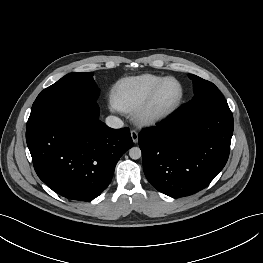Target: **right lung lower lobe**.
Segmentation results:
<instances>
[{"label": "right lung lower lobe", "instance_id": "right-lung-lower-lobe-1", "mask_svg": "<svg viewBox=\"0 0 263 263\" xmlns=\"http://www.w3.org/2000/svg\"><path fill=\"white\" fill-rule=\"evenodd\" d=\"M26 141L38 177L59 195L79 201L104 191L133 145L129 129L107 127L91 100L76 113L60 110L27 129Z\"/></svg>", "mask_w": 263, "mask_h": 263}]
</instances>
